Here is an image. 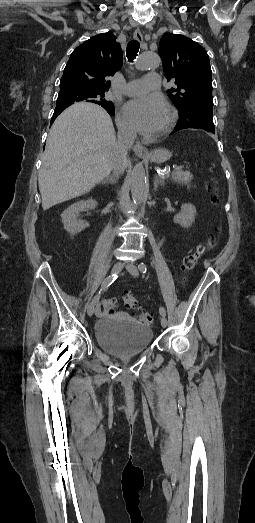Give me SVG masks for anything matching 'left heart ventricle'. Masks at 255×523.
Segmentation results:
<instances>
[{
  "label": "left heart ventricle",
  "instance_id": "obj_1",
  "mask_svg": "<svg viewBox=\"0 0 255 523\" xmlns=\"http://www.w3.org/2000/svg\"><path fill=\"white\" fill-rule=\"evenodd\" d=\"M170 119V110L164 106L157 118L155 130L150 134V136L155 137L161 135L167 129Z\"/></svg>",
  "mask_w": 255,
  "mask_h": 523
}]
</instances>
